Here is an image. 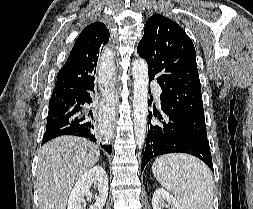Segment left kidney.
I'll return each mask as SVG.
<instances>
[{"label":"left kidney","instance_id":"1","mask_svg":"<svg viewBox=\"0 0 253 209\" xmlns=\"http://www.w3.org/2000/svg\"><path fill=\"white\" fill-rule=\"evenodd\" d=\"M153 209H164V207H169V209H183L177 200L165 189H157L152 198Z\"/></svg>","mask_w":253,"mask_h":209}]
</instances>
